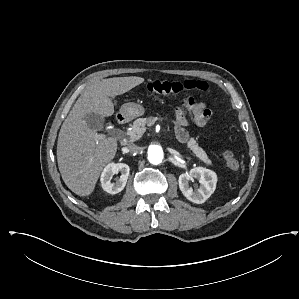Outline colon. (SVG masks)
<instances>
[{
  "label": "colon",
  "instance_id": "obj_1",
  "mask_svg": "<svg viewBox=\"0 0 299 299\" xmlns=\"http://www.w3.org/2000/svg\"><path fill=\"white\" fill-rule=\"evenodd\" d=\"M147 91L157 95H175L183 92H199L205 94L208 93L210 89L207 83L193 79L185 81L153 80L147 84ZM223 157L230 169L237 170L240 167L239 160L231 150H226L223 153Z\"/></svg>",
  "mask_w": 299,
  "mask_h": 299
}]
</instances>
